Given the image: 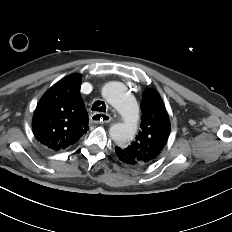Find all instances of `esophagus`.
Returning <instances> with one entry per match:
<instances>
[{"mask_svg": "<svg viewBox=\"0 0 232 232\" xmlns=\"http://www.w3.org/2000/svg\"><path fill=\"white\" fill-rule=\"evenodd\" d=\"M91 121L96 124L109 123L112 117L107 113L97 112L91 115Z\"/></svg>", "mask_w": 232, "mask_h": 232, "instance_id": "34e87169", "label": "esophagus"}]
</instances>
